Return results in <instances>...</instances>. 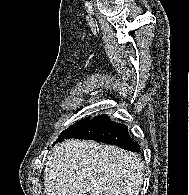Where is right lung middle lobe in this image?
Returning <instances> with one entry per match:
<instances>
[{
  "mask_svg": "<svg viewBox=\"0 0 189 195\" xmlns=\"http://www.w3.org/2000/svg\"><path fill=\"white\" fill-rule=\"evenodd\" d=\"M91 116L81 119L75 124L71 125L68 129L64 130L61 135L58 137L55 143L63 141L64 139L72 138L76 135L89 121Z\"/></svg>",
  "mask_w": 189,
  "mask_h": 195,
  "instance_id": "dd1d6c3e",
  "label": "right lung middle lobe"
}]
</instances>
